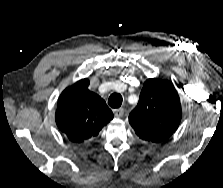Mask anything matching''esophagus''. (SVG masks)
Wrapping results in <instances>:
<instances>
[{"label": "esophagus", "instance_id": "34e87169", "mask_svg": "<svg viewBox=\"0 0 223 188\" xmlns=\"http://www.w3.org/2000/svg\"><path fill=\"white\" fill-rule=\"evenodd\" d=\"M113 112H114L115 117H122L125 111L123 108H118V109H115Z\"/></svg>", "mask_w": 223, "mask_h": 188}]
</instances>
